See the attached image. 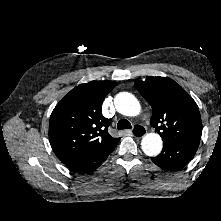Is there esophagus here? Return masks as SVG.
Wrapping results in <instances>:
<instances>
[{
	"label": "esophagus",
	"instance_id": "esophagus-1",
	"mask_svg": "<svg viewBox=\"0 0 221 221\" xmlns=\"http://www.w3.org/2000/svg\"><path fill=\"white\" fill-rule=\"evenodd\" d=\"M145 133L144 128L139 125H135L134 130L131 131V135L137 139H141Z\"/></svg>",
	"mask_w": 221,
	"mask_h": 221
}]
</instances>
